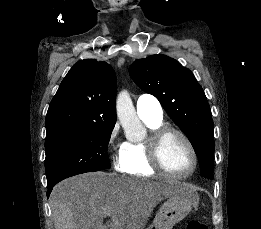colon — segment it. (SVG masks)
<instances>
[{
  "label": "colon",
  "mask_w": 261,
  "mask_h": 229,
  "mask_svg": "<svg viewBox=\"0 0 261 229\" xmlns=\"http://www.w3.org/2000/svg\"><path fill=\"white\" fill-rule=\"evenodd\" d=\"M186 229H208V226L200 220L193 219L188 222Z\"/></svg>",
  "instance_id": "5ec220e1"
}]
</instances>
